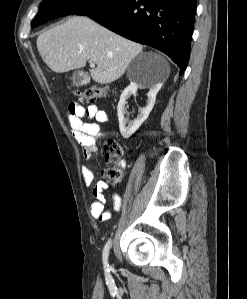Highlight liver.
<instances>
[{"label": "liver", "instance_id": "1", "mask_svg": "<svg viewBox=\"0 0 247 299\" xmlns=\"http://www.w3.org/2000/svg\"><path fill=\"white\" fill-rule=\"evenodd\" d=\"M37 48L44 63L56 73H64L85 67L92 61L97 67L90 70L92 79L108 84L119 79L129 63L143 49L99 25L88 17H71L64 23L40 34ZM163 68V80L170 73L164 57L158 55Z\"/></svg>", "mask_w": 247, "mask_h": 299}]
</instances>
